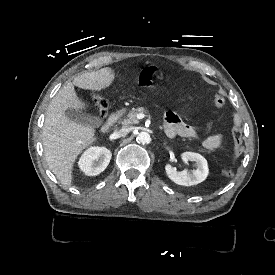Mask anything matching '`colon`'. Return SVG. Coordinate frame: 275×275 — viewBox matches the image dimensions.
<instances>
[{
	"label": "colon",
	"mask_w": 275,
	"mask_h": 275,
	"mask_svg": "<svg viewBox=\"0 0 275 275\" xmlns=\"http://www.w3.org/2000/svg\"><path fill=\"white\" fill-rule=\"evenodd\" d=\"M148 68H155V67H148ZM212 103L214 106L222 108L226 105V100L223 95L216 94L213 97ZM83 104L85 105V107H94L99 112L105 111L108 106L107 101L102 98L99 100L89 99L87 101H84ZM232 136H233L234 145H235L233 159L237 160L243 152L242 136H241V130L239 127H234L232 129ZM223 174L226 177H232L234 175V170L232 167H228V168L224 169Z\"/></svg>",
	"instance_id": "obj_1"
}]
</instances>
